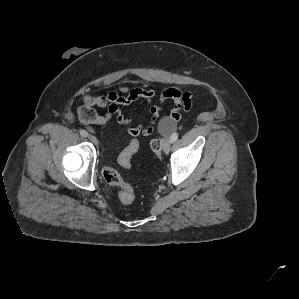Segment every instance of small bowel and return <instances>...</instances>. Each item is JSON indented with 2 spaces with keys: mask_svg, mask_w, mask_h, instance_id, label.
<instances>
[{
  "mask_svg": "<svg viewBox=\"0 0 299 299\" xmlns=\"http://www.w3.org/2000/svg\"><path fill=\"white\" fill-rule=\"evenodd\" d=\"M193 95L183 92L179 88L170 87L159 92L152 89H143L132 86H121L119 90L109 92L103 96L86 94L83 97L84 104L78 109V116L84 125H105L112 119L124 127L133 138L148 136L153 132L154 124L158 119L162 104L171 100L174 103L169 119L176 123L182 113H188L192 106ZM145 101L150 105L151 119L147 125L132 126L131 120L125 117L121 107L129 106L136 102ZM95 107L103 109L104 114H99Z\"/></svg>",
  "mask_w": 299,
  "mask_h": 299,
  "instance_id": "obj_1",
  "label": "small bowel"
}]
</instances>
